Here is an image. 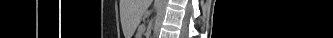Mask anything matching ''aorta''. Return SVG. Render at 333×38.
Instances as JSON below:
<instances>
[{"label": "aorta", "mask_w": 333, "mask_h": 38, "mask_svg": "<svg viewBox=\"0 0 333 38\" xmlns=\"http://www.w3.org/2000/svg\"><path fill=\"white\" fill-rule=\"evenodd\" d=\"M168 0H155L156 16L154 20L153 37L156 38L159 34L160 27L164 20Z\"/></svg>", "instance_id": "aorta-1"}]
</instances>
